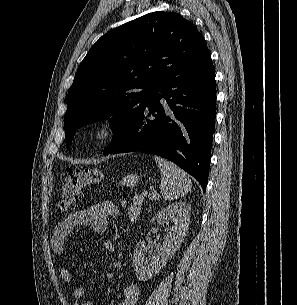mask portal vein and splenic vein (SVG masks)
Here are the masks:
<instances>
[{"instance_id": "18ae733b", "label": "portal vein and splenic vein", "mask_w": 297, "mask_h": 305, "mask_svg": "<svg viewBox=\"0 0 297 305\" xmlns=\"http://www.w3.org/2000/svg\"><path fill=\"white\" fill-rule=\"evenodd\" d=\"M144 196H148L149 199H155L156 198V193H148L147 191L143 192Z\"/></svg>"}]
</instances>
